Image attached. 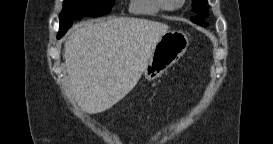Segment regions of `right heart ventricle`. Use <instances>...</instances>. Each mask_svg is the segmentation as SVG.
I'll return each mask as SVG.
<instances>
[{"mask_svg":"<svg viewBox=\"0 0 273 144\" xmlns=\"http://www.w3.org/2000/svg\"><path fill=\"white\" fill-rule=\"evenodd\" d=\"M159 0H132L130 10L139 15L152 16L161 11Z\"/></svg>","mask_w":273,"mask_h":144,"instance_id":"obj_1","label":"right heart ventricle"}]
</instances>
